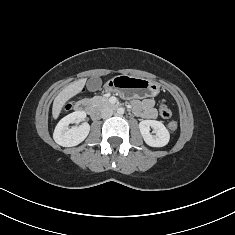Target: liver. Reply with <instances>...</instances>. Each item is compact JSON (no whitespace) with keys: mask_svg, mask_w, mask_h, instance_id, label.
I'll return each mask as SVG.
<instances>
[{"mask_svg":"<svg viewBox=\"0 0 235 235\" xmlns=\"http://www.w3.org/2000/svg\"><path fill=\"white\" fill-rule=\"evenodd\" d=\"M86 79H79L65 87L54 99L52 106V116L57 119L65 103L77 95L85 86Z\"/></svg>","mask_w":235,"mask_h":235,"instance_id":"6515ba94","label":"liver"}]
</instances>
